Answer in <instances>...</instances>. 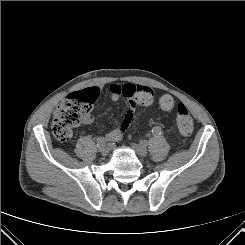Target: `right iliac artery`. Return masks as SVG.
<instances>
[{
    "label": "right iliac artery",
    "instance_id": "82829eb1",
    "mask_svg": "<svg viewBox=\"0 0 245 245\" xmlns=\"http://www.w3.org/2000/svg\"><path fill=\"white\" fill-rule=\"evenodd\" d=\"M110 143H106V141L103 139V138H101V139H98V141H97V147H99L100 149H103V151H108V149L110 148Z\"/></svg>",
    "mask_w": 245,
    "mask_h": 245
}]
</instances>
